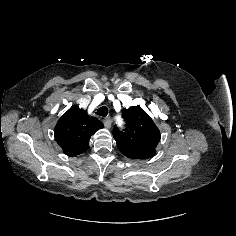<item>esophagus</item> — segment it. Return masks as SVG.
<instances>
[{
	"instance_id": "esophagus-1",
	"label": "esophagus",
	"mask_w": 236,
	"mask_h": 236,
	"mask_svg": "<svg viewBox=\"0 0 236 236\" xmlns=\"http://www.w3.org/2000/svg\"><path fill=\"white\" fill-rule=\"evenodd\" d=\"M103 123L106 128H110L111 127V118L110 117L104 118Z\"/></svg>"
}]
</instances>
